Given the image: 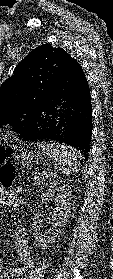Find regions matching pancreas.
<instances>
[{
	"mask_svg": "<svg viewBox=\"0 0 113 279\" xmlns=\"http://www.w3.org/2000/svg\"><path fill=\"white\" fill-rule=\"evenodd\" d=\"M45 181V178L42 176H35L34 177V184L35 185H40L41 183L43 184V182Z\"/></svg>",
	"mask_w": 113,
	"mask_h": 279,
	"instance_id": "cf45deb5",
	"label": "pancreas"
}]
</instances>
